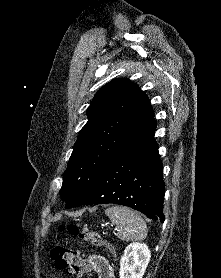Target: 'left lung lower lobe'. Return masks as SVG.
Listing matches in <instances>:
<instances>
[{
	"mask_svg": "<svg viewBox=\"0 0 221 278\" xmlns=\"http://www.w3.org/2000/svg\"><path fill=\"white\" fill-rule=\"evenodd\" d=\"M155 128L156 124L121 150L74 207L114 203L164 222L165 185Z\"/></svg>",
	"mask_w": 221,
	"mask_h": 278,
	"instance_id": "left-lung-lower-lobe-1",
	"label": "left lung lower lobe"
}]
</instances>
